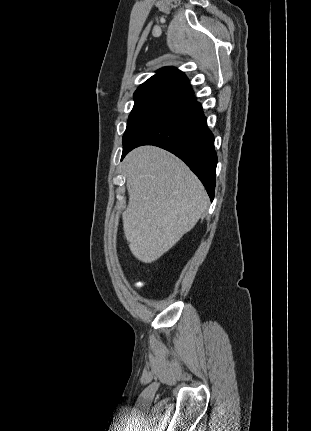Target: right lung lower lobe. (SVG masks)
Masks as SVG:
<instances>
[{
	"label": "right lung lower lobe",
	"mask_w": 311,
	"mask_h": 431,
	"mask_svg": "<svg viewBox=\"0 0 311 431\" xmlns=\"http://www.w3.org/2000/svg\"><path fill=\"white\" fill-rule=\"evenodd\" d=\"M141 145H154L183 160L214 198L217 155L214 136L194 94L171 104L147 122L123 148L122 159Z\"/></svg>",
	"instance_id": "98d812e1"
}]
</instances>
